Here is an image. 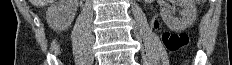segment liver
Wrapping results in <instances>:
<instances>
[{
  "mask_svg": "<svg viewBox=\"0 0 232 65\" xmlns=\"http://www.w3.org/2000/svg\"><path fill=\"white\" fill-rule=\"evenodd\" d=\"M30 2L37 7H43L53 3L54 0H30Z\"/></svg>",
  "mask_w": 232,
  "mask_h": 65,
  "instance_id": "liver-1",
  "label": "liver"
}]
</instances>
